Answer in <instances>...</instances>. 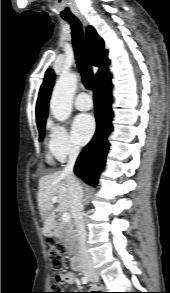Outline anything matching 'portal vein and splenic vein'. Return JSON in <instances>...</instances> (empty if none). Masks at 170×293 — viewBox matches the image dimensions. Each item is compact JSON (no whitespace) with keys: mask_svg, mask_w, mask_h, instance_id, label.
<instances>
[{"mask_svg":"<svg viewBox=\"0 0 170 293\" xmlns=\"http://www.w3.org/2000/svg\"><path fill=\"white\" fill-rule=\"evenodd\" d=\"M51 201H52V203H57L58 199H57V197H53L51 199ZM61 219L64 223H68L70 221V214L67 212L63 213Z\"/></svg>","mask_w":170,"mask_h":293,"instance_id":"18ae733b","label":"portal vein and splenic vein"}]
</instances>
